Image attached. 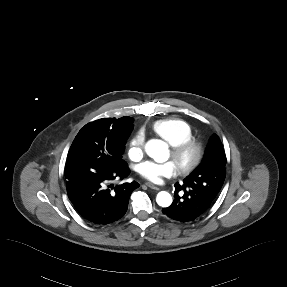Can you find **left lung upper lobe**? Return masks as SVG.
I'll return each mask as SVG.
<instances>
[{"label": "left lung upper lobe", "instance_id": "5c2ea615", "mask_svg": "<svg viewBox=\"0 0 287 287\" xmlns=\"http://www.w3.org/2000/svg\"><path fill=\"white\" fill-rule=\"evenodd\" d=\"M226 162L223 145L219 137L214 134L208 143L201 164L183 180V186L214 201L226 176Z\"/></svg>", "mask_w": 287, "mask_h": 287}]
</instances>
